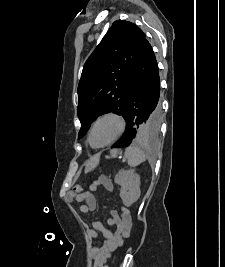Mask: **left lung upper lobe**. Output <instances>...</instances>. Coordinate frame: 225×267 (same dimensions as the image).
<instances>
[{
  "instance_id": "5c2ea615",
  "label": "left lung upper lobe",
  "mask_w": 225,
  "mask_h": 267,
  "mask_svg": "<svg viewBox=\"0 0 225 267\" xmlns=\"http://www.w3.org/2000/svg\"><path fill=\"white\" fill-rule=\"evenodd\" d=\"M145 41V33L137 25L117 20L87 59L77 91L81 122L78 138L104 113L125 117L133 75ZM159 127L151 125L150 120L140 121L136 137L153 138Z\"/></svg>"
}]
</instances>
